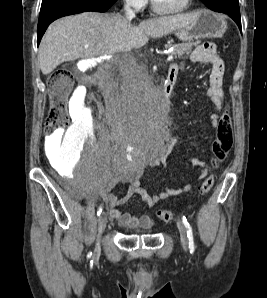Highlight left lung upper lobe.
<instances>
[{
	"mask_svg": "<svg viewBox=\"0 0 267 298\" xmlns=\"http://www.w3.org/2000/svg\"><path fill=\"white\" fill-rule=\"evenodd\" d=\"M208 8L216 11L219 6L239 5L237 0H201Z\"/></svg>",
	"mask_w": 267,
	"mask_h": 298,
	"instance_id": "1",
	"label": "left lung upper lobe"
}]
</instances>
